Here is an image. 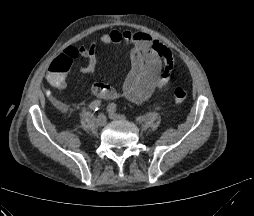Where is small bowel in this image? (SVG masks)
Returning <instances> with one entry per match:
<instances>
[{
  "label": "small bowel",
  "instance_id": "small-bowel-1",
  "mask_svg": "<svg viewBox=\"0 0 254 216\" xmlns=\"http://www.w3.org/2000/svg\"><path fill=\"white\" fill-rule=\"evenodd\" d=\"M99 43L101 45L124 43L130 46L131 68L120 88L100 82L93 84L91 94L94 97L102 100L124 97L132 102L142 103L168 83L174 64V56L171 50L160 40L141 31L112 30L103 34ZM96 51V43L79 48L68 47L62 53L61 61L70 65L76 57L80 56L87 61L82 72L93 76L98 66ZM47 79L53 88L64 90L68 86L66 72L57 79H52L51 75L48 74Z\"/></svg>",
  "mask_w": 254,
  "mask_h": 216
}]
</instances>
